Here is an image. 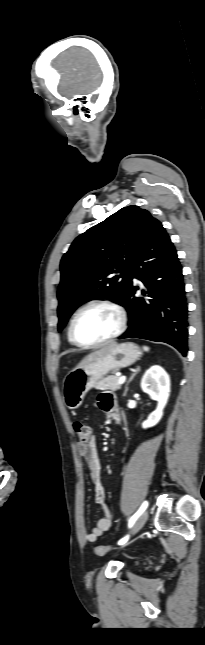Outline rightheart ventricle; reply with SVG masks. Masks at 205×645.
Returning <instances> with one entry per match:
<instances>
[{"label": "right heart ventricle", "instance_id": "1", "mask_svg": "<svg viewBox=\"0 0 205 645\" xmlns=\"http://www.w3.org/2000/svg\"><path fill=\"white\" fill-rule=\"evenodd\" d=\"M68 340H69V342H70L71 344H74V342H73V341H72V339L70 338L69 330H68Z\"/></svg>", "mask_w": 205, "mask_h": 645}]
</instances>
